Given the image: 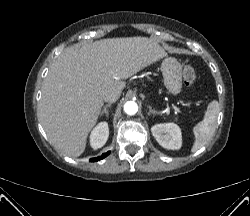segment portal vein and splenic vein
Returning a JSON list of instances; mask_svg holds the SVG:
<instances>
[{
  "label": "portal vein and splenic vein",
  "instance_id": "obj_1",
  "mask_svg": "<svg viewBox=\"0 0 250 216\" xmlns=\"http://www.w3.org/2000/svg\"><path fill=\"white\" fill-rule=\"evenodd\" d=\"M175 111H176V112H179V110H178L177 108H175Z\"/></svg>",
  "mask_w": 250,
  "mask_h": 216
}]
</instances>
